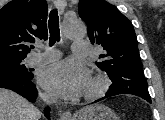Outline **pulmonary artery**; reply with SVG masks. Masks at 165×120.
Returning a JSON list of instances; mask_svg holds the SVG:
<instances>
[{"mask_svg": "<svg viewBox=\"0 0 165 120\" xmlns=\"http://www.w3.org/2000/svg\"><path fill=\"white\" fill-rule=\"evenodd\" d=\"M89 44L85 41H77L73 44V52L77 55L86 56L89 54ZM59 57L58 51L45 48L44 51L33 54L28 58L29 65H39L51 62Z\"/></svg>", "mask_w": 165, "mask_h": 120, "instance_id": "obj_1", "label": "pulmonary artery"}]
</instances>
